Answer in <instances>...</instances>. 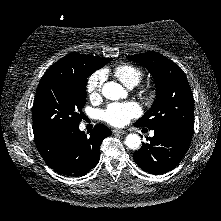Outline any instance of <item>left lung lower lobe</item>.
<instances>
[{"label": "left lung lower lobe", "instance_id": "0a47b994", "mask_svg": "<svg viewBox=\"0 0 221 221\" xmlns=\"http://www.w3.org/2000/svg\"><path fill=\"white\" fill-rule=\"evenodd\" d=\"M150 143H143L133 154L135 163L144 171L158 175L174 169L189 149L192 135L171 129H154Z\"/></svg>", "mask_w": 221, "mask_h": 221}]
</instances>
